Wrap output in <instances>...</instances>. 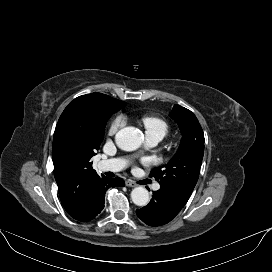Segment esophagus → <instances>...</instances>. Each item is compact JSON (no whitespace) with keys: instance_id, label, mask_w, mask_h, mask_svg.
<instances>
[{"instance_id":"1","label":"esophagus","mask_w":272,"mask_h":272,"mask_svg":"<svg viewBox=\"0 0 272 272\" xmlns=\"http://www.w3.org/2000/svg\"><path fill=\"white\" fill-rule=\"evenodd\" d=\"M125 184L128 187H135L136 186V183L132 180H126Z\"/></svg>"}]
</instances>
